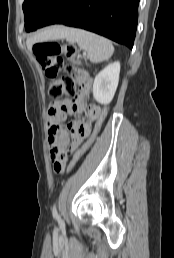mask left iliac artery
<instances>
[{
	"mask_svg": "<svg viewBox=\"0 0 174 258\" xmlns=\"http://www.w3.org/2000/svg\"><path fill=\"white\" fill-rule=\"evenodd\" d=\"M52 214H53L54 217H58V212H57V209H56V204L53 205Z\"/></svg>",
	"mask_w": 174,
	"mask_h": 258,
	"instance_id": "1",
	"label": "left iliac artery"
}]
</instances>
